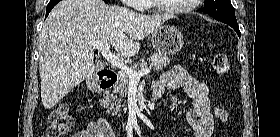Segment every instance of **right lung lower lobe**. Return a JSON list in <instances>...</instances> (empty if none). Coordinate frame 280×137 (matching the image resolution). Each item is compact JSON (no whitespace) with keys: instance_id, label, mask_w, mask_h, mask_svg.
Segmentation results:
<instances>
[{"instance_id":"right-lung-lower-lobe-1","label":"right lung lower lobe","mask_w":280,"mask_h":137,"mask_svg":"<svg viewBox=\"0 0 280 137\" xmlns=\"http://www.w3.org/2000/svg\"><path fill=\"white\" fill-rule=\"evenodd\" d=\"M60 0H50V2L47 5V10H46V16L45 18L48 16L49 12L51 11V9L59 2ZM106 2V0H104Z\"/></svg>"}]
</instances>
